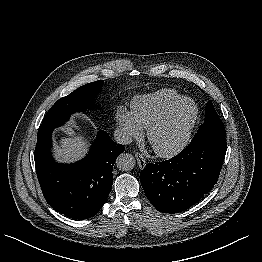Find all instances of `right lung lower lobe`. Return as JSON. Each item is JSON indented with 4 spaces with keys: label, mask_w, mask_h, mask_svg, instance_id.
Returning a JSON list of instances; mask_svg holds the SVG:
<instances>
[{
    "label": "right lung lower lobe",
    "mask_w": 262,
    "mask_h": 262,
    "mask_svg": "<svg viewBox=\"0 0 262 262\" xmlns=\"http://www.w3.org/2000/svg\"><path fill=\"white\" fill-rule=\"evenodd\" d=\"M63 124L39 127L34 155L37 177L47 203L55 211L72 219L91 218L107 201L112 169L125 147L101 130L84 159L70 165L56 163L50 154L51 134Z\"/></svg>",
    "instance_id": "right-lung-lower-lobe-1"
}]
</instances>
